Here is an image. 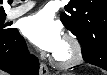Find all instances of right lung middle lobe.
Here are the masks:
<instances>
[{
  "mask_svg": "<svg viewBox=\"0 0 107 75\" xmlns=\"http://www.w3.org/2000/svg\"><path fill=\"white\" fill-rule=\"evenodd\" d=\"M6 14H0V38L7 37L14 29L6 28L7 24L4 23Z\"/></svg>",
  "mask_w": 107,
  "mask_h": 75,
  "instance_id": "1",
  "label": "right lung middle lobe"
}]
</instances>
